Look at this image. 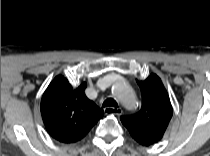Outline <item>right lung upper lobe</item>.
<instances>
[{"label": "right lung upper lobe", "mask_w": 210, "mask_h": 156, "mask_svg": "<svg viewBox=\"0 0 210 156\" xmlns=\"http://www.w3.org/2000/svg\"><path fill=\"white\" fill-rule=\"evenodd\" d=\"M86 82L77 88L58 75L41 100V115L49 135L62 143L81 140L103 116L104 111L85 95Z\"/></svg>", "instance_id": "right-lung-upper-lobe-1"}]
</instances>
